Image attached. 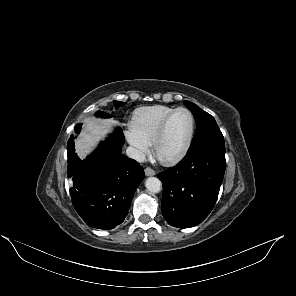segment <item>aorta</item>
<instances>
[{"label": "aorta", "mask_w": 296, "mask_h": 296, "mask_svg": "<svg viewBox=\"0 0 296 296\" xmlns=\"http://www.w3.org/2000/svg\"><path fill=\"white\" fill-rule=\"evenodd\" d=\"M145 186L148 191H150L152 193H158V192H160V190L162 188V183L156 177H149L145 181Z\"/></svg>", "instance_id": "aorta-1"}]
</instances>
